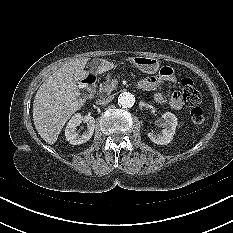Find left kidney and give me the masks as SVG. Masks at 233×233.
<instances>
[{
  "mask_svg": "<svg viewBox=\"0 0 233 233\" xmlns=\"http://www.w3.org/2000/svg\"><path fill=\"white\" fill-rule=\"evenodd\" d=\"M162 120L165 127L162 133L154 134L150 132L147 135L149 139L155 144L167 145L171 142L175 134L178 121L176 116L171 112L164 113L162 115Z\"/></svg>",
  "mask_w": 233,
  "mask_h": 233,
  "instance_id": "left-kidney-1",
  "label": "left kidney"
}]
</instances>
